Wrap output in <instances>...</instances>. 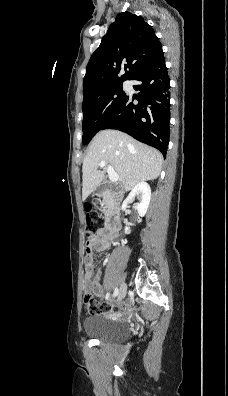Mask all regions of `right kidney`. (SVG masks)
<instances>
[{"instance_id":"ca27d5eb","label":"right kidney","mask_w":228,"mask_h":396,"mask_svg":"<svg viewBox=\"0 0 228 396\" xmlns=\"http://www.w3.org/2000/svg\"><path fill=\"white\" fill-rule=\"evenodd\" d=\"M135 197L140 200V203L135 205L134 208L138 211V214L143 217L147 212L151 200V189L149 184L146 182H140L132 189L122 204L121 208L123 211L126 209L127 204L132 202ZM128 231L129 228L125 227V232Z\"/></svg>"}]
</instances>
